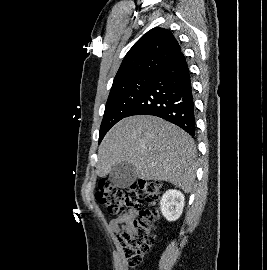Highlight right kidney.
Segmentation results:
<instances>
[{
  "mask_svg": "<svg viewBox=\"0 0 267 270\" xmlns=\"http://www.w3.org/2000/svg\"><path fill=\"white\" fill-rule=\"evenodd\" d=\"M184 204L185 198L182 192L168 190L160 201L161 213L168 221H176L182 214Z\"/></svg>",
  "mask_w": 267,
  "mask_h": 270,
  "instance_id": "ca27d5eb",
  "label": "right kidney"
}]
</instances>
